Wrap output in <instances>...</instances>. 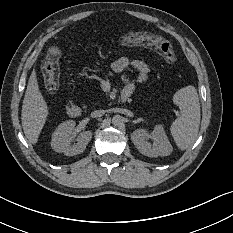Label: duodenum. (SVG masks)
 <instances>
[{"label":"duodenum","mask_w":233,"mask_h":233,"mask_svg":"<svg viewBox=\"0 0 233 233\" xmlns=\"http://www.w3.org/2000/svg\"><path fill=\"white\" fill-rule=\"evenodd\" d=\"M122 100H125L124 97H122ZM66 111L69 116L71 117H78L81 114V109L80 107L74 103L73 101H69L67 106H66Z\"/></svg>","instance_id":"410a0bca"}]
</instances>
